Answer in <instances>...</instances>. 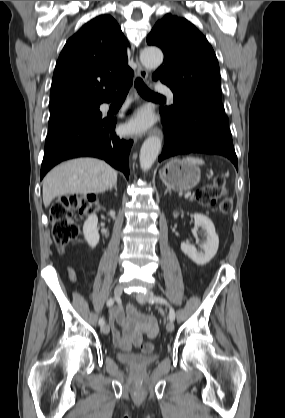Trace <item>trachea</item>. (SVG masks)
Returning a JSON list of instances; mask_svg holds the SVG:
<instances>
[{
  "label": "trachea",
  "instance_id": "1",
  "mask_svg": "<svg viewBox=\"0 0 285 418\" xmlns=\"http://www.w3.org/2000/svg\"><path fill=\"white\" fill-rule=\"evenodd\" d=\"M131 83H123L119 84L117 86L118 90L116 93V98H126L129 89H130ZM135 87L138 91V93L145 98H163V96L152 92L148 89V87L145 85L143 80L141 78H137L135 81Z\"/></svg>",
  "mask_w": 285,
  "mask_h": 418
}]
</instances>
